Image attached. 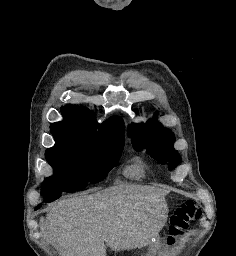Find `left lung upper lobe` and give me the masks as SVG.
<instances>
[{
    "label": "left lung upper lobe",
    "instance_id": "1",
    "mask_svg": "<svg viewBox=\"0 0 236 256\" xmlns=\"http://www.w3.org/2000/svg\"><path fill=\"white\" fill-rule=\"evenodd\" d=\"M129 136L135 150L145 148L161 164L169 163V170L180 163V155L173 148L174 134L159 122L149 120L146 124H132L129 126Z\"/></svg>",
    "mask_w": 236,
    "mask_h": 256
}]
</instances>
